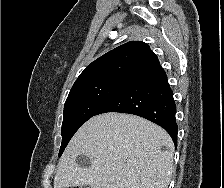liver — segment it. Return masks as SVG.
Wrapping results in <instances>:
<instances>
[{
	"mask_svg": "<svg viewBox=\"0 0 224 188\" xmlns=\"http://www.w3.org/2000/svg\"><path fill=\"white\" fill-rule=\"evenodd\" d=\"M79 155L88 157L91 166L80 165ZM173 155V141L160 126L136 115L104 113L89 119L73 136L54 188H168Z\"/></svg>",
	"mask_w": 224,
	"mask_h": 188,
	"instance_id": "6515ba94",
	"label": "liver"
}]
</instances>
